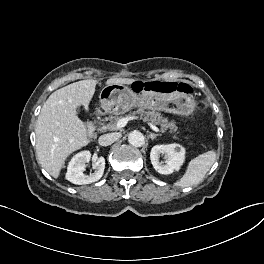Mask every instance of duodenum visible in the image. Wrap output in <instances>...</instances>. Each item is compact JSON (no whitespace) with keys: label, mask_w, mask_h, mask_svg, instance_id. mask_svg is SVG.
I'll list each match as a JSON object with an SVG mask.
<instances>
[{"label":"duodenum","mask_w":264,"mask_h":264,"mask_svg":"<svg viewBox=\"0 0 264 264\" xmlns=\"http://www.w3.org/2000/svg\"><path fill=\"white\" fill-rule=\"evenodd\" d=\"M95 129H96L95 122L94 121L90 122L88 125V135L90 137L94 135Z\"/></svg>","instance_id":"410a0bca"}]
</instances>
